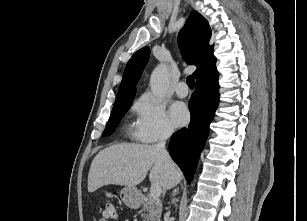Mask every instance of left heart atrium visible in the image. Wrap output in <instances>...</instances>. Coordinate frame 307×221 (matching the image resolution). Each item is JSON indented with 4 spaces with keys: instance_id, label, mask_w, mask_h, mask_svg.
I'll return each instance as SVG.
<instances>
[{
    "instance_id": "left-heart-atrium-1",
    "label": "left heart atrium",
    "mask_w": 307,
    "mask_h": 221,
    "mask_svg": "<svg viewBox=\"0 0 307 221\" xmlns=\"http://www.w3.org/2000/svg\"><path fill=\"white\" fill-rule=\"evenodd\" d=\"M170 116L176 127H182L189 121V111L182 102H174L170 107Z\"/></svg>"
}]
</instances>
